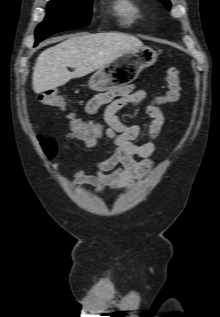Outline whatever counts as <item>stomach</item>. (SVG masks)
I'll list each match as a JSON object with an SVG mask.
<instances>
[{"mask_svg":"<svg viewBox=\"0 0 220 317\" xmlns=\"http://www.w3.org/2000/svg\"><path fill=\"white\" fill-rule=\"evenodd\" d=\"M157 60V53L142 47L123 53L107 66L98 69L89 79L88 85L94 91H109L133 82L140 72Z\"/></svg>","mask_w":220,"mask_h":317,"instance_id":"1","label":"stomach"}]
</instances>
